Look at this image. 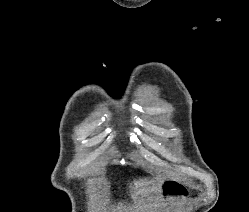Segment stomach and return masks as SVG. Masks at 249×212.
<instances>
[{"instance_id":"1","label":"stomach","mask_w":249,"mask_h":212,"mask_svg":"<svg viewBox=\"0 0 249 212\" xmlns=\"http://www.w3.org/2000/svg\"><path fill=\"white\" fill-rule=\"evenodd\" d=\"M160 192L163 194L164 200L170 202V200H178L185 196V190H183L181 184H178L176 180H165L160 184Z\"/></svg>"}]
</instances>
